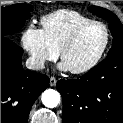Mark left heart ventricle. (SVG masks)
Listing matches in <instances>:
<instances>
[{"label":"left heart ventricle","instance_id":"b2bd125f","mask_svg":"<svg viewBox=\"0 0 123 123\" xmlns=\"http://www.w3.org/2000/svg\"><path fill=\"white\" fill-rule=\"evenodd\" d=\"M105 41L101 26L85 30L75 45L65 54L63 62L69 69H78L89 64L99 53Z\"/></svg>","mask_w":123,"mask_h":123}]
</instances>
